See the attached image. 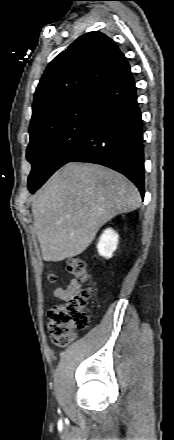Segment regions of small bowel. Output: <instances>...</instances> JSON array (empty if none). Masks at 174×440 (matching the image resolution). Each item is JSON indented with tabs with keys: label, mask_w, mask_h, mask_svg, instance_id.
<instances>
[{
	"label": "small bowel",
	"mask_w": 174,
	"mask_h": 440,
	"mask_svg": "<svg viewBox=\"0 0 174 440\" xmlns=\"http://www.w3.org/2000/svg\"><path fill=\"white\" fill-rule=\"evenodd\" d=\"M81 291V285L76 279H72L66 286L58 287L53 291L55 298L68 300Z\"/></svg>",
	"instance_id": "obj_1"
}]
</instances>
